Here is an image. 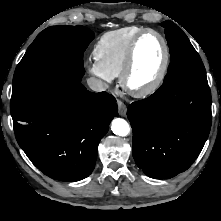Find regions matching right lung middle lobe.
I'll use <instances>...</instances> for the list:
<instances>
[{"label": "right lung middle lobe", "instance_id": "dd1d6c3e", "mask_svg": "<svg viewBox=\"0 0 221 221\" xmlns=\"http://www.w3.org/2000/svg\"><path fill=\"white\" fill-rule=\"evenodd\" d=\"M93 39L94 33L84 26H52L43 30L16 67L11 112L61 86L64 74L83 75V53Z\"/></svg>", "mask_w": 221, "mask_h": 221}]
</instances>
